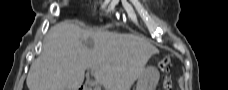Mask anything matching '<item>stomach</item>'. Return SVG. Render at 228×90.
Returning a JSON list of instances; mask_svg holds the SVG:
<instances>
[{"label": "stomach", "mask_w": 228, "mask_h": 90, "mask_svg": "<svg viewBox=\"0 0 228 90\" xmlns=\"http://www.w3.org/2000/svg\"><path fill=\"white\" fill-rule=\"evenodd\" d=\"M159 79L157 68L149 66L143 70L138 78L136 90H154Z\"/></svg>", "instance_id": "stomach-1"}]
</instances>
